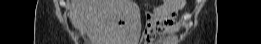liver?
I'll return each instance as SVG.
<instances>
[{
    "instance_id": "liver-1",
    "label": "liver",
    "mask_w": 261,
    "mask_h": 44,
    "mask_svg": "<svg viewBox=\"0 0 261 44\" xmlns=\"http://www.w3.org/2000/svg\"><path fill=\"white\" fill-rule=\"evenodd\" d=\"M90 44H134L140 36L137 6L132 0H72ZM138 24V25H116Z\"/></svg>"
}]
</instances>
